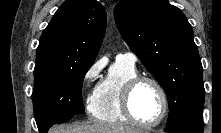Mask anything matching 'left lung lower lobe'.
Returning a JSON list of instances; mask_svg holds the SVG:
<instances>
[{"instance_id": "1", "label": "left lung lower lobe", "mask_w": 221, "mask_h": 133, "mask_svg": "<svg viewBox=\"0 0 221 133\" xmlns=\"http://www.w3.org/2000/svg\"><path fill=\"white\" fill-rule=\"evenodd\" d=\"M203 129L202 110H196L184 115L172 125H168L165 131L171 133H203Z\"/></svg>"}]
</instances>
